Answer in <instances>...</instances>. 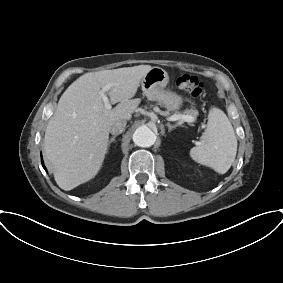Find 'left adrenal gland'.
Returning a JSON list of instances; mask_svg holds the SVG:
<instances>
[{"mask_svg": "<svg viewBox=\"0 0 283 283\" xmlns=\"http://www.w3.org/2000/svg\"><path fill=\"white\" fill-rule=\"evenodd\" d=\"M166 126L168 127V132H171L173 129H175L178 125H171L170 123H167Z\"/></svg>", "mask_w": 283, "mask_h": 283, "instance_id": "a2214340", "label": "left adrenal gland"}]
</instances>
